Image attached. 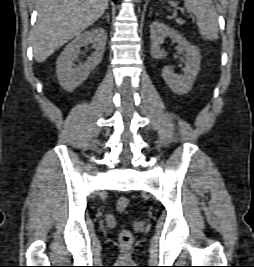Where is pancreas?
Segmentation results:
<instances>
[{"instance_id": "cf45deb5", "label": "pancreas", "mask_w": 254, "mask_h": 267, "mask_svg": "<svg viewBox=\"0 0 254 267\" xmlns=\"http://www.w3.org/2000/svg\"><path fill=\"white\" fill-rule=\"evenodd\" d=\"M176 22L179 24V25H183L185 23L184 20L182 19H176Z\"/></svg>"}]
</instances>
